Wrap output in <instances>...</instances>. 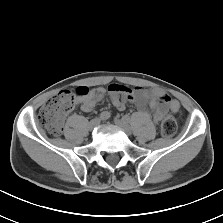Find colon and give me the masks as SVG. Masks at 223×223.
<instances>
[{
  "label": "colon",
  "instance_id": "1",
  "mask_svg": "<svg viewBox=\"0 0 223 223\" xmlns=\"http://www.w3.org/2000/svg\"><path fill=\"white\" fill-rule=\"evenodd\" d=\"M89 93L85 86L78 87L75 92L62 90L52 96L37 114L38 123L50 134L58 136L63 128L65 116L74 108L76 97H84ZM177 122L173 115L164 116L161 123V132L164 137L175 135Z\"/></svg>",
  "mask_w": 223,
  "mask_h": 223
}]
</instances>
